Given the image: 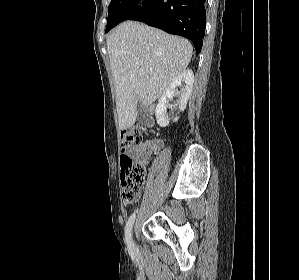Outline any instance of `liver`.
<instances>
[{
  "label": "liver",
  "instance_id": "obj_1",
  "mask_svg": "<svg viewBox=\"0 0 299 280\" xmlns=\"http://www.w3.org/2000/svg\"><path fill=\"white\" fill-rule=\"evenodd\" d=\"M121 130L136 122V102L148 107L189 65L191 43L136 21L121 23L107 38ZM143 69L145 73L139 74Z\"/></svg>",
  "mask_w": 299,
  "mask_h": 280
}]
</instances>
